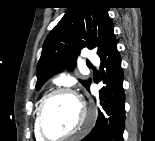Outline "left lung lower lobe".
Instances as JSON below:
<instances>
[{
  "label": "left lung lower lobe",
  "instance_id": "0a47b994",
  "mask_svg": "<svg viewBox=\"0 0 155 141\" xmlns=\"http://www.w3.org/2000/svg\"><path fill=\"white\" fill-rule=\"evenodd\" d=\"M98 56L101 59V69L106 68L107 75V77L103 75L106 87L100 90V105L103 112L100 113L92 131L82 141H123L125 127L124 75L115 35L109 38Z\"/></svg>",
  "mask_w": 155,
  "mask_h": 141
}]
</instances>
